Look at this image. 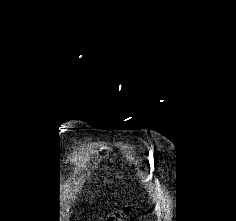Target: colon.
I'll list each match as a JSON object with an SVG mask.
<instances>
[{
  "instance_id": "colon-1",
  "label": "colon",
  "mask_w": 236,
  "mask_h": 221,
  "mask_svg": "<svg viewBox=\"0 0 236 221\" xmlns=\"http://www.w3.org/2000/svg\"><path fill=\"white\" fill-rule=\"evenodd\" d=\"M129 215L128 209H121L111 215L106 221H127Z\"/></svg>"
}]
</instances>
